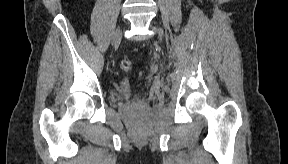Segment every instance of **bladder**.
<instances>
[{
  "mask_svg": "<svg viewBox=\"0 0 288 164\" xmlns=\"http://www.w3.org/2000/svg\"><path fill=\"white\" fill-rule=\"evenodd\" d=\"M117 100L121 101H134L135 96L132 91L130 82L127 79H121L117 84V89L115 93Z\"/></svg>",
  "mask_w": 288,
  "mask_h": 164,
  "instance_id": "1",
  "label": "bladder"
}]
</instances>
